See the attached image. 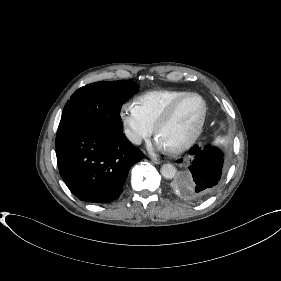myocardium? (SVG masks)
I'll use <instances>...</instances> for the list:
<instances>
[{"label": "myocardium", "instance_id": "myocardium-1", "mask_svg": "<svg viewBox=\"0 0 281 281\" xmlns=\"http://www.w3.org/2000/svg\"><path fill=\"white\" fill-rule=\"evenodd\" d=\"M190 97H196V98L200 99V101L202 102L203 110H202L201 119L199 121L198 126L196 127L195 131L193 132V134L190 136L189 139H187L185 142L181 143L180 145H178L174 148L166 149V151L169 154L175 155V154L184 152L185 150L189 149L195 143V141L198 139L200 133L202 132V129L204 127L206 117H207L208 107H207L206 100L198 93L187 92L169 104V106L161 114V116L159 117V119L157 120V122L154 126V132H155V135L157 136L159 131L161 130V128L171 119V117L173 116L177 107L184 100H186L187 98H190Z\"/></svg>", "mask_w": 281, "mask_h": 281}]
</instances>
